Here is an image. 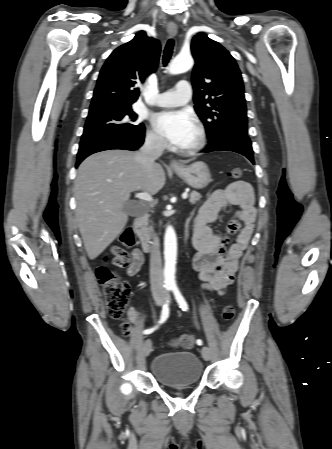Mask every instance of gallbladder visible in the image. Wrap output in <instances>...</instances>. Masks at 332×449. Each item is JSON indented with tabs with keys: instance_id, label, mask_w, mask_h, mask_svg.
I'll return each mask as SVG.
<instances>
[{
	"instance_id": "bac80fb5",
	"label": "gallbladder",
	"mask_w": 332,
	"mask_h": 449,
	"mask_svg": "<svg viewBox=\"0 0 332 449\" xmlns=\"http://www.w3.org/2000/svg\"><path fill=\"white\" fill-rule=\"evenodd\" d=\"M124 210L128 213V215L132 217H136L141 215V209L137 205V203L130 201L125 204Z\"/></svg>"
}]
</instances>
